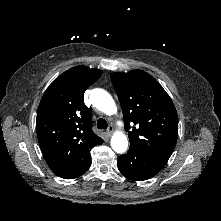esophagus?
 Returning a JSON list of instances; mask_svg holds the SVG:
<instances>
[{"mask_svg": "<svg viewBox=\"0 0 221 221\" xmlns=\"http://www.w3.org/2000/svg\"><path fill=\"white\" fill-rule=\"evenodd\" d=\"M114 128L112 126H109L108 130L106 131L108 136H111L113 133Z\"/></svg>", "mask_w": 221, "mask_h": 221, "instance_id": "34e87169", "label": "esophagus"}]
</instances>
